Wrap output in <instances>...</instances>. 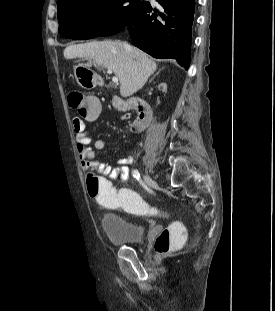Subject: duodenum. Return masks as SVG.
I'll use <instances>...</instances> for the list:
<instances>
[{
    "label": "duodenum",
    "mask_w": 275,
    "mask_h": 311,
    "mask_svg": "<svg viewBox=\"0 0 275 311\" xmlns=\"http://www.w3.org/2000/svg\"><path fill=\"white\" fill-rule=\"evenodd\" d=\"M98 82H101V79H98ZM116 103L122 109H135L137 111V117L132 124L133 131L140 132L148 126L152 116V110L147 102L140 99L116 98Z\"/></svg>",
    "instance_id": "obj_1"
}]
</instances>
